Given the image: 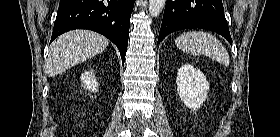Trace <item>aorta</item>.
<instances>
[{"mask_svg":"<svg viewBox=\"0 0 280 137\" xmlns=\"http://www.w3.org/2000/svg\"><path fill=\"white\" fill-rule=\"evenodd\" d=\"M166 0H149V13L157 17L165 7Z\"/></svg>","mask_w":280,"mask_h":137,"instance_id":"obj_1","label":"aorta"}]
</instances>
